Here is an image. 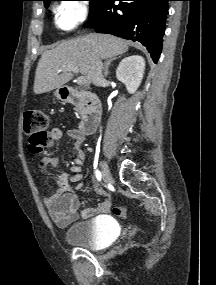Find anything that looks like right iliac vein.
I'll return each mask as SVG.
<instances>
[{
    "mask_svg": "<svg viewBox=\"0 0 216 285\" xmlns=\"http://www.w3.org/2000/svg\"><path fill=\"white\" fill-rule=\"evenodd\" d=\"M101 169H102V176H103L104 182L110 183L112 181V176L108 168V165L105 161L101 163Z\"/></svg>",
    "mask_w": 216,
    "mask_h": 285,
    "instance_id": "1",
    "label": "right iliac vein"
}]
</instances>
